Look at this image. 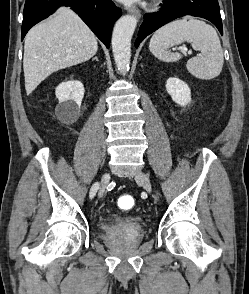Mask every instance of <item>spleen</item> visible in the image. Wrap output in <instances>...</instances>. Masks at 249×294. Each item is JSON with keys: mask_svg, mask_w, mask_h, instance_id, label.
Instances as JSON below:
<instances>
[{"mask_svg": "<svg viewBox=\"0 0 249 294\" xmlns=\"http://www.w3.org/2000/svg\"><path fill=\"white\" fill-rule=\"evenodd\" d=\"M185 41L201 52L200 56L188 60L187 70L194 77L203 80L217 77L224 63L223 50L215 29L204 21L182 18L164 25L153 34L149 49L161 61L177 62L181 59V54L168 49Z\"/></svg>", "mask_w": 249, "mask_h": 294, "instance_id": "spleen-1", "label": "spleen"}]
</instances>
